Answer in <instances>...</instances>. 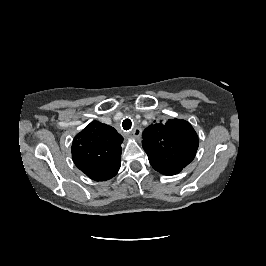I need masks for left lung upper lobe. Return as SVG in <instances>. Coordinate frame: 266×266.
I'll list each match as a JSON object with an SVG mask.
<instances>
[{
  "label": "left lung upper lobe",
  "instance_id": "1",
  "mask_svg": "<svg viewBox=\"0 0 266 266\" xmlns=\"http://www.w3.org/2000/svg\"><path fill=\"white\" fill-rule=\"evenodd\" d=\"M198 136L192 125L180 119L155 123L143 132L142 146L152 167L164 175H175L195 157Z\"/></svg>",
  "mask_w": 266,
  "mask_h": 266
}]
</instances>
